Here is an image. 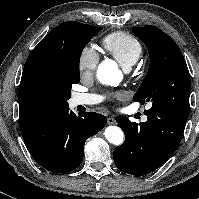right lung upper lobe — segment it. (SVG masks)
I'll return each instance as SVG.
<instances>
[{"instance_id":"cb5924a9","label":"right lung upper lobe","mask_w":199,"mask_h":199,"mask_svg":"<svg viewBox=\"0 0 199 199\" xmlns=\"http://www.w3.org/2000/svg\"><path fill=\"white\" fill-rule=\"evenodd\" d=\"M51 36L52 31L32 50L24 65L18 90L19 122L24 142L31 140L38 132L48 126L58 112L66 108L36 98L29 89L31 71L42 57Z\"/></svg>"}]
</instances>
